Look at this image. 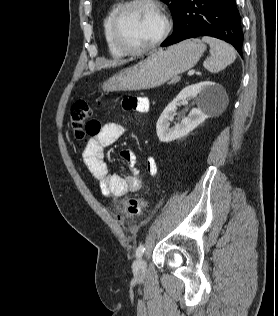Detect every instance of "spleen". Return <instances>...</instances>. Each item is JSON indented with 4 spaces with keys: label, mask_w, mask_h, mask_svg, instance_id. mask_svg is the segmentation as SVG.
<instances>
[{
    "label": "spleen",
    "mask_w": 278,
    "mask_h": 316,
    "mask_svg": "<svg viewBox=\"0 0 278 316\" xmlns=\"http://www.w3.org/2000/svg\"><path fill=\"white\" fill-rule=\"evenodd\" d=\"M202 41L210 45L211 56L204 61V67L216 73L233 63L236 59L235 49L224 41L219 39L204 36Z\"/></svg>",
    "instance_id": "obj_1"
}]
</instances>
